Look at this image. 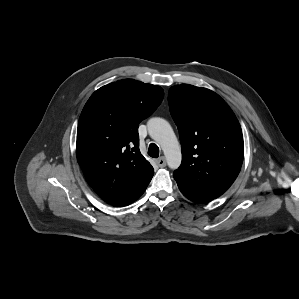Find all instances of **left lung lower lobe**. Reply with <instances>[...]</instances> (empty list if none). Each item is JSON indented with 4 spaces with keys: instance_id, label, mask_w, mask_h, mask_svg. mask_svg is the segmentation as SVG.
<instances>
[{
    "instance_id": "1",
    "label": "left lung lower lobe",
    "mask_w": 299,
    "mask_h": 299,
    "mask_svg": "<svg viewBox=\"0 0 299 299\" xmlns=\"http://www.w3.org/2000/svg\"><path fill=\"white\" fill-rule=\"evenodd\" d=\"M178 187L180 189V191L182 192V194L187 197L188 199L194 201V202H198V203H206L209 202L215 198L200 194L198 192L192 191L187 189L184 186H181L178 184Z\"/></svg>"
}]
</instances>
